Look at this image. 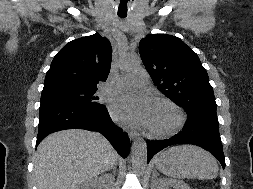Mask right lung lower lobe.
<instances>
[{"label":"right lung lower lobe","instance_id":"right-lung-lower-lobe-1","mask_svg":"<svg viewBox=\"0 0 253 189\" xmlns=\"http://www.w3.org/2000/svg\"><path fill=\"white\" fill-rule=\"evenodd\" d=\"M70 128L98 131L111 142L123 158L129 154L130 140L128 135L111 121L105 107L92 108L70 103L40 104L36 146L48 134Z\"/></svg>","mask_w":253,"mask_h":189}]
</instances>
